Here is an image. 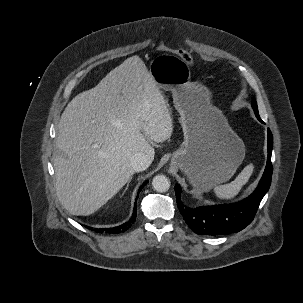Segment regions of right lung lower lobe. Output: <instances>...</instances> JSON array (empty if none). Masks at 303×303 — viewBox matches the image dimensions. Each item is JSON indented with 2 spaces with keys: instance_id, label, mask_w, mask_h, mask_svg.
<instances>
[{
  "instance_id": "98d812e1",
  "label": "right lung lower lobe",
  "mask_w": 303,
  "mask_h": 303,
  "mask_svg": "<svg viewBox=\"0 0 303 303\" xmlns=\"http://www.w3.org/2000/svg\"><path fill=\"white\" fill-rule=\"evenodd\" d=\"M147 182H148V181L144 182V183L141 185V187L139 188V192H140V191L142 190V188L147 184ZM139 192H138V194H139ZM137 198H138V196H137ZM135 218H136V206H134V210H133L132 217H131V219H130L128 222H126V223H124V224H122V225H120V226L113 227V228H104V229H102V228H99V229H98V228H95L94 230H95L96 232H100V233H103V232H106V233H120V232H124V231H126L127 229H129V228L131 227V225L135 222ZM86 228L93 230L92 227L89 228L88 226H86Z\"/></svg>"
}]
</instances>
